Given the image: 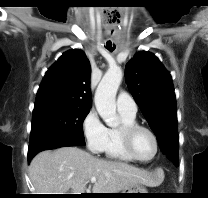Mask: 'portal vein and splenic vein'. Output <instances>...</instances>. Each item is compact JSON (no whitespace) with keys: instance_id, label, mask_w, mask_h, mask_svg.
Returning a JSON list of instances; mask_svg holds the SVG:
<instances>
[{"instance_id":"obj_1","label":"portal vein and splenic vein","mask_w":208,"mask_h":198,"mask_svg":"<svg viewBox=\"0 0 208 198\" xmlns=\"http://www.w3.org/2000/svg\"><path fill=\"white\" fill-rule=\"evenodd\" d=\"M90 180H91L92 183H94L96 181V178L92 177Z\"/></svg>"}]
</instances>
